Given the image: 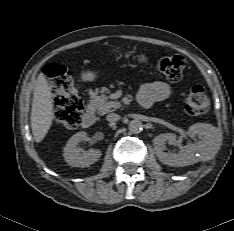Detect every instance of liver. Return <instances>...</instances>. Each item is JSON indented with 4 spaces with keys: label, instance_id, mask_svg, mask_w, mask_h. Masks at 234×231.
Here are the masks:
<instances>
[{
    "label": "liver",
    "instance_id": "obj_1",
    "mask_svg": "<svg viewBox=\"0 0 234 231\" xmlns=\"http://www.w3.org/2000/svg\"><path fill=\"white\" fill-rule=\"evenodd\" d=\"M54 104L50 86L43 73L35 81L31 109V128L35 142H41L48 133L54 119Z\"/></svg>",
    "mask_w": 234,
    "mask_h": 231
}]
</instances>
